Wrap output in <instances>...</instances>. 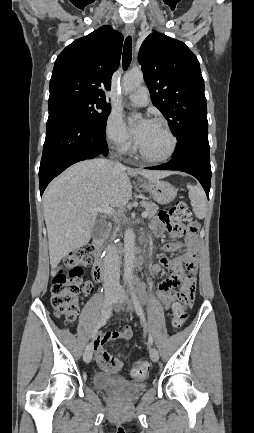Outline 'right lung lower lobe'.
Masks as SVG:
<instances>
[{
  "label": "right lung lower lobe",
  "mask_w": 254,
  "mask_h": 433,
  "mask_svg": "<svg viewBox=\"0 0 254 433\" xmlns=\"http://www.w3.org/2000/svg\"><path fill=\"white\" fill-rule=\"evenodd\" d=\"M105 129L68 112H49L39 168L41 195L51 180L70 165L98 155L107 156Z\"/></svg>",
  "instance_id": "obj_1"
}]
</instances>
